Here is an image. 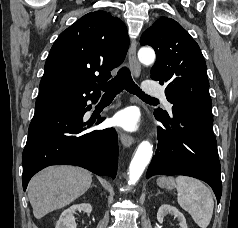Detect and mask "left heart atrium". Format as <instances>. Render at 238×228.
I'll use <instances>...</instances> for the list:
<instances>
[{"label": "left heart atrium", "mask_w": 238, "mask_h": 228, "mask_svg": "<svg viewBox=\"0 0 238 228\" xmlns=\"http://www.w3.org/2000/svg\"><path fill=\"white\" fill-rule=\"evenodd\" d=\"M114 123L125 130H135L139 126V114L134 108L123 109L115 115Z\"/></svg>", "instance_id": "obj_1"}]
</instances>
